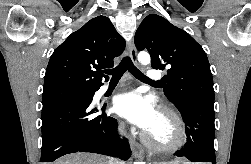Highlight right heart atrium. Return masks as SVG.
I'll use <instances>...</instances> for the list:
<instances>
[{
	"label": "right heart atrium",
	"mask_w": 251,
	"mask_h": 164,
	"mask_svg": "<svg viewBox=\"0 0 251 164\" xmlns=\"http://www.w3.org/2000/svg\"><path fill=\"white\" fill-rule=\"evenodd\" d=\"M119 129H122V124H119Z\"/></svg>",
	"instance_id": "right-heart-atrium-1"
}]
</instances>
